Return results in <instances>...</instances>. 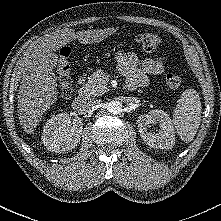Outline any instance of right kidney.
Returning <instances> with one entry per match:
<instances>
[{"label":"right kidney","instance_id":"right-kidney-1","mask_svg":"<svg viewBox=\"0 0 221 221\" xmlns=\"http://www.w3.org/2000/svg\"><path fill=\"white\" fill-rule=\"evenodd\" d=\"M83 123L78 117L60 113L50 118L44 125L42 141L52 152H65L75 148L80 142Z\"/></svg>","mask_w":221,"mask_h":221}]
</instances>
